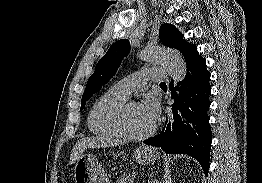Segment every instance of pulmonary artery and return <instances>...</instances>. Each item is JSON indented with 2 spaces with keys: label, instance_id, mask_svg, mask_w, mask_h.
<instances>
[{
  "label": "pulmonary artery",
  "instance_id": "pulmonary-artery-1",
  "mask_svg": "<svg viewBox=\"0 0 262 183\" xmlns=\"http://www.w3.org/2000/svg\"><path fill=\"white\" fill-rule=\"evenodd\" d=\"M163 73L164 70L161 69H144L121 79L112 88L128 98L133 91L144 87L150 80L153 82H163L166 79Z\"/></svg>",
  "mask_w": 262,
  "mask_h": 183
}]
</instances>
